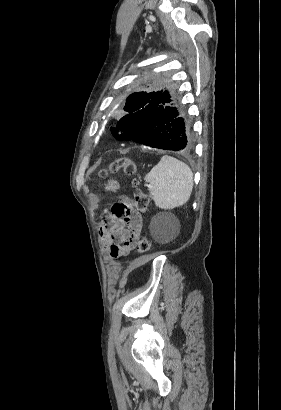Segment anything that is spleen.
I'll use <instances>...</instances> for the list:
<instances>
[{"label": "spleen", "instance_id": "obj_1", "mask_svg": "<svg viewBox=\"0 0 281 410\" xmlns=\"http://www.w3.org/2000/svg\"><path fill=\"white\" fill-rule=\"evenodd\" d=\"M150 197L162 209L184 205L193 189V173L188 165L164 155L145 176Z\"/></svg>", "mask_w": 281, "mask_h": 410}]
</instances>
